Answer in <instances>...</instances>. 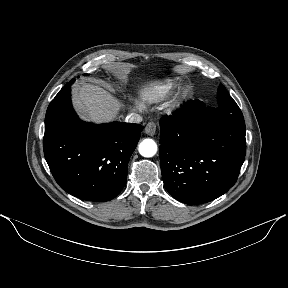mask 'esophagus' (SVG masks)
I'll return each mask as SVG.
<instances>
[{
	"label": "esophagus",
	"instance_id": "esophagus-1",
	"mask_svg": "<svg viewBox=\"0 0 288 288\" xmlns=\"http://www.w3.org/2000/svg\"><path fill=\"white\" fill-rule=\"evenodd\" d=\"M156 131L157 125L154 122H149L144 129V132L149 136H154Z\"/></svg>",
	"mask_w": 288,
	"mask_h": 288
}]
</instances>
